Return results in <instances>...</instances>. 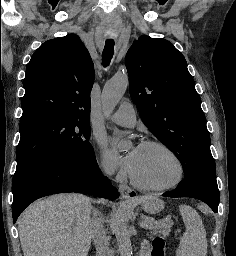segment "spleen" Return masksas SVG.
Listing matches in <instances>:
<instances>
[{"label": "spleen", "instance_id": "spleen-1", "mask_svg": "<svg viewBox=\"0 0 236 256\" xmlns=\"http://www.w3.org/2000/svg\"><path fill=\"white\" fill-rule=\"evenodd\" d=\"M180 216L185 224L176 256H207V238L204 224L196 210L190 206H179Z\"/></svg>", "mask_w": 236, "mask_h": 256}]
</instances>
